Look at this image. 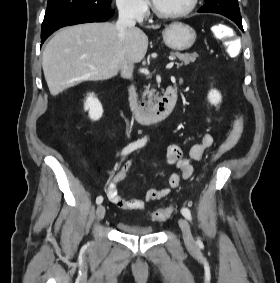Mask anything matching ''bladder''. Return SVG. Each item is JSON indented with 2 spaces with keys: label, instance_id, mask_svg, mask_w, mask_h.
<instances>
[{
  "label": "bladder",
  "instance_id": "obj_1",
  "mask_svg": "<svg viewBox=\"0 0 280 283\" xmlns=\"http://www.w3.org/2000/svg\"><path fill=\"white\" fill-rule=\"evenodd\" d=\"M117 228L122 234L129 236H147L152 235L154 233V227L150 225L118 222Z\"/></svg>",
  "mask_w": 280,
  "mask_h": 283
}]
</instances>
